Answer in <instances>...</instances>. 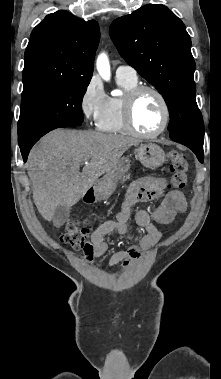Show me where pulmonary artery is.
<instances>
[{
	"label": "pulmonary artery",
	"instance_id": "e3ab8cb5",
	"mask_svg": "<svg viewBox=\"0 0 221 379\" xmlns=\"http://www.w3.org/2000/svg\"><path fill=\"white\" fill-rule=\"evenodd\" d=\"M116 77L135 81L137 80V72L131 66L121 65L116 69Z\"/></svg>",
	"mask_w": 221,
	"mask_h": 379
}]
</instances>
